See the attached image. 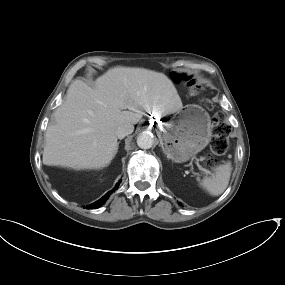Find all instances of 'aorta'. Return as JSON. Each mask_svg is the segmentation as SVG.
Returning <instances> with one entry per match:
<instances>
[{
	"label": "aorta",
	"mask_w": 285,
	"mask_h": 285,
	"mask_svg": "<svg viewBox=\"0 0 285 285\" xmlns=\"http://www.w3.org/2000/svg\"><path fill=\"white\" fill-rule=\"evenodd\" d=\"M154 144V136L149 132H142L137 137V145L141 149H150Z\"/></svg>",
	"instance_id": "aorta-1"
}]
</instances>
